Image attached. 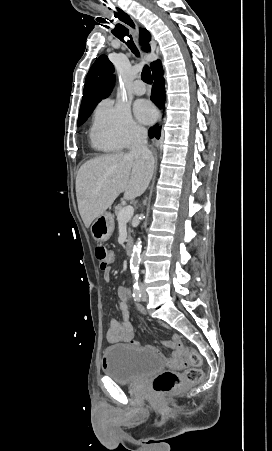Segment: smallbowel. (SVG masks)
Here are the masks:
<instances>
[{"mask_svg": "<svg viewBox=\"0 0 272 451\" xmlns=\"http://www.w3.org/2000/svg\"><path fill=\"white\" fill-rule=\"evenodd\" d=\"M113 260V255H112ZM104 280L109 282L110 280V268L104 271ZM119 296L121 301L118 304V311L120 313V320L114 318L110 321L109 328L106 332L105 339L109 344L128 343L133 346H140L139 341L135 336V329L131 322V314L127 302V292L124 288H120ZM183 345L181 336L177 333L172 334L171 340L163 342V346L166 348H181ZM150 350L160 354V350L157 347L150 346Z\"/></svg>", "mask_w": 272, "mask_h": 451, "instance_id": "small-bowel-1", "label": "small bowel"}]
</instances>
